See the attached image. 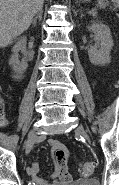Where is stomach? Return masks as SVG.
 <instances>
[{"label": "stomach", "instance_id": "stomach-1", "mask_svg": "<svg viewBox=\"0 0 119 185\" xmlns=\"http://www.w3.org/2000/svg\"><path fill=\"white\" fill-rule=\"evenodd\" d=\"M83 1L87 2V1H89V0H83Z\"/></svg>", "mask_w": 119, "mask_h": 185}]
</instances>
